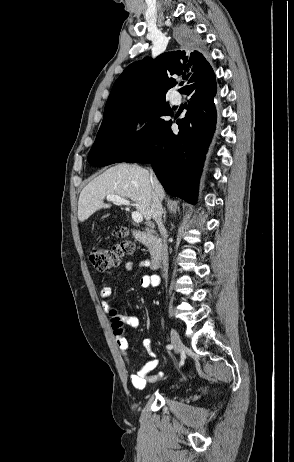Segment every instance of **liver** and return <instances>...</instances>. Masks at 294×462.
<instances>
[{"mask_svg":"<svg viewBox=\"0 0 294 462\" xmlns=\"http://www.w3.org/2000/svg\"><path fill=\"white\" fill-rule=\"evenodd\" d=\"M154 192L161 200L165 197L160 182L156 178L151 179L146 169L137 165L118 164L93 179L81 191L78 201V219L83 222L96 211L110 208V204L104 203L105 197L117 195L131 199L136 210L149 221L152 218L151 204ZM107 216L109 214L103 218Z\"/></svg>","mask_w":294,"mask_h":462,"instance_id":"obj_1","label":"liver"}]
</instances>
